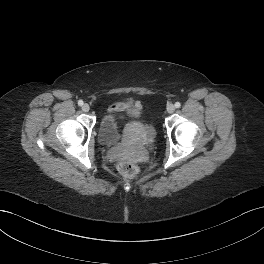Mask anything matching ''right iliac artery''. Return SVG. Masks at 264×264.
Returning <instances> with one entry per match:
<instances>
[{
	"label": "right iliac artery",
	"mask_w": 264,
	"mask_h": 264,
	"mask_svg": "<svg viewBox=\"0 0 264 264\" xmlns=\"http://www.w3.org/2000/svg\"><path fill=\"white\" fill-rule=\"evenodd\" d=\"M83 104H84V102H83L82 100H79V101H78V105H79V106H82Z\"/></svg>",
	"instance_id": "82829eb1"
}]
</instances>
